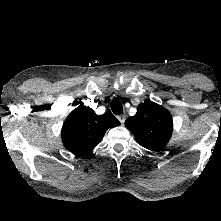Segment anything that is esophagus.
<instances>
[{"mask_svg":"<svg viewBox=\"0 0 221 221\" xmlns=\"http://www.w3.org/2000/svg\"><path fill=\"white\" fill-rule=\"evenodd\" d=\"M118 120L120 121L121 124H124L125 120H126V115H119L118 116Z\"/></svg>","mask_w":221,"mask_h":221,"instance_id":"esophagus-1","label":"esophagus"}]
</instances>
